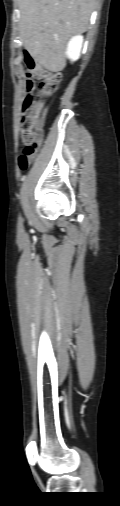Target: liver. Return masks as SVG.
Masks as SVG:
<instances>
[{
	"label": "liver",
	"mask_w": 120,
	"mask_h": 506,
	"mask_svg": "<svg viewBox=\"0 0 120 506\" xmlns=\"http://www.w3.org/2000/svg\"><path fill=\"white\" fill-rule=\"evenodd\" d=\"M20 35L26 51L46 69H64L65 45L89 27L95 0H19Z\"/></svg>",
	"instance_id": "6515ba94"
}]
</instances>
